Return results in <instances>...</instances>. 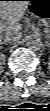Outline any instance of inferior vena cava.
Returning a JSON list of instances; mask_svg holds the SVG:
<instances>
[{"label":"inferior vena cava","mask_w":50,"mask_h":111,"mask_svg":"<svg viewBox=\"0 0 50 111\" xmlns=\"http://www.w3.org/2000/svg\"><path fill=\"white\" fill-rule=\"evenodd\" d=\"M2 39L5 43L17 42L21 39V32H19L18 30L17 31L5 32Z\"/></svg>","instance_id":"1"}]
</instances>
